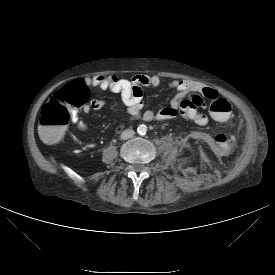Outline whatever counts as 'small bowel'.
Masks as SVG:
<instances>
[{
	"label": "small bowel",
	"mask_w": 275,
	"mask_h": 275,
	"mask_svg": "<svg viewBox=\"0 0 275 275\" xmlns=\"http://www.w3.org/2000/svg\"><path fill=\"white\" fill-rule=\"evenodd\" d=\"M88 85L108 90L112 93L119 94L122 102L127 107L131 120L142 118L144 121H165L183 115L198 125H206L209 121L206 114L191 106L186 99V94L190 91H197L205 94L208 91L217 92L209 87H205L192 80H171L167 83L168 87L175 91V95L171 99L170 105L154 110L144 111L143 88L158 87L165 83V78L160 75L137 74L130 79L112 76H92L86 78ZM106 104L105 99H94L91 101L84 112L87 113L91 109H101ZM74 124L78 129L85 131L88 125L77 115L73 117ZM213 149L221 156H230L235 149V140L225 131H216L211 138Z\"/></svg>",
	"instance_id": "c3829d8e"
}]
</instances>
